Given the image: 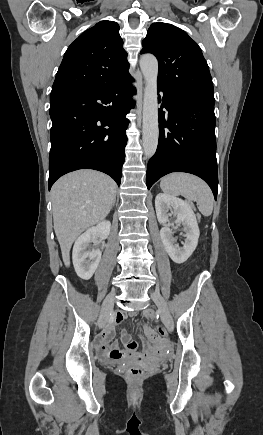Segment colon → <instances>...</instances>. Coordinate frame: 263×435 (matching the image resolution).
<instances>
[{"instance_id": "colon-1", "label": "colon", "mask_w": 263, "mask_h": 435, "mask_svg": "<svg viewBox=\"0 0 263 435\" xmlns=\"http://www.w3.org/2000/svg\"><path fill=\"white\" fill-rule=\"evenodd\" d=\"M156 328L158 329L159 334H162V336L165 335V329L160 324H157ZM143 375H144V369L139 365L131 366L125 372L126 378L131 381H138L143 377Z\"/></svg>"}]
</instances>
